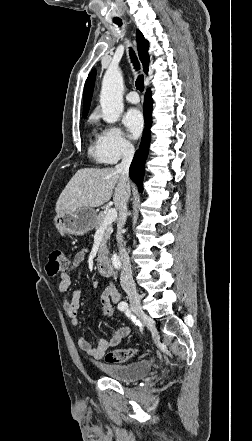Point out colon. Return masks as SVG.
<instances>
[{
	"label": "colon",
	"instance_id": "5ec220e1",
	"mask_svg": "<svg viewBox=\"0 0 252 441\" xmlns=\"http://www.w3.org/2000/svg\"><path fill=\"white\" fill-rule=\"evenodd\" d=\"M68 259L63 251L54 249L48 256L46 271L48 275H56L66 269ZM114 314V306L104 305L99 310L98 315L102 318H111ZM136 349H116L105 354L104 359L107 363H123L131 359L136 354Z\"/></svg>",
	"mask_w": 252,
	"mask_h": 441
}]
</instances>
